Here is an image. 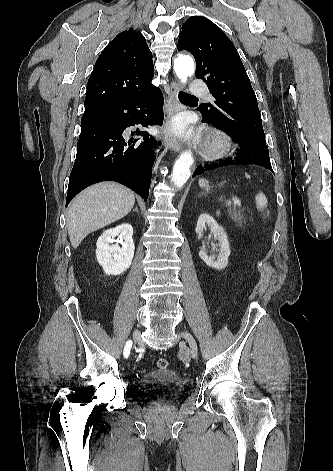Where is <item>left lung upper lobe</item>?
Masks as SVG:
<instances>
[{
  "label": "left lung upper lobe",
  "instance_id": "left-lung-upper-lobe-1",
  "mask_svg": "<svg viewBox=\"0 0 333 471\" xmlns=\"http://www.w3.org/2000/svg\"><path fill=\"white\" fill-rule=\"evenodd\" d=\"M177 48L193 54L196 77L216 99L198 108L202 115L242 145L266 146L257 98L234 44L223 31L204 17L192 16L182 26Z\"/></svg>",
  "mask_w": 333,
  "mask_h": 471
}]
</instances>
